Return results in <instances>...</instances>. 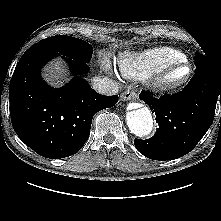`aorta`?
<instances>
[{"mask_svg": "<svg viewBox=\"0 0 221 221\" xmlns=\"http://www.w3.org/2000/svg\"><path fill=\"white\" fill-rule=\"evenodd\" d=\"M126 121L130 131L137 137L149 135L153 128V118L148 107L128 111Z\"/></svg>", "mask_w": 221, "mask_h": 221, "instance_id": "1", "label": "aorta"}]
</instances>
